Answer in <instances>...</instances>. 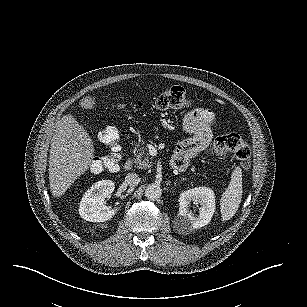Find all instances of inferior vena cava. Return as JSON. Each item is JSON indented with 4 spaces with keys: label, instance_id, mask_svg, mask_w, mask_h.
<instances>
[{
    "label": "inferior vena cava",
    "instance_id": "602c4592",
    "mask_svg": "<svg viewBox=\"0 0 307 307\" xmlns=\"http://www.w3.org/2000/svg\"><path fill=\"white\" fill-rule=\"evenodd\" d=\"M137 181H138V175L136 173H128L125 177V182L128 185L135 184L137 183Z\"/></svg>",
    "mask_w": 307,
    "mask_h": 307
}]
</instances>
